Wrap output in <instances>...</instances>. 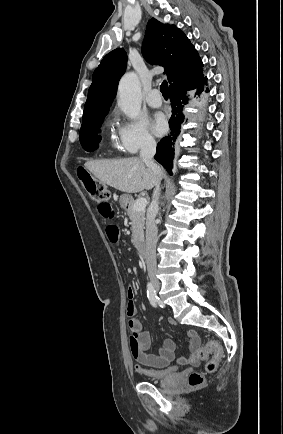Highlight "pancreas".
<instances>
[{"instance_id":"obj_1","label":"pancreas","mask_w":283,"mask_h":434,"mask_svg":"<svg viewBox=\"0 0 283 434\" xmlns=\"http://www.w3.org/2000/svg\"><path fill=\"white\" fill-rule=\"evenodd\" d=\"M125 210L131 220V241L137 247L144 240L145 213L144 211H136L134 209V202Z\"/></svg>"}]
</instances>
